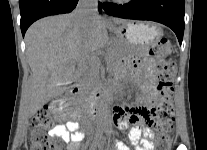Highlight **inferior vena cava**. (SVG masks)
Masks as SVG:
<instances>
[{
	"label": "inferior vena cava",
	"mask_w": 207,
	"mask_h": 150,
	"mask_svg": "<svg viewBox=\"0 0 207 150\" xmlns=\"http://www.w3.org/2000/svg\"><path fill=\"white\" fill-rule=\"evenodd\" d=\"M97 0H79L78 4L76 6V9L74 11V15L77 19V21L83 25V26H88L90 22L98 15L97 11ZM88 59L89 55L84 54L82 57L80 63H79V68L82 74H86L88 70Z\"/></svg>",
	"instance_id": "1"
}]
</instances>
